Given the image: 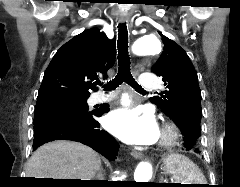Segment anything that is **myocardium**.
Listing matches in <instances>:
<instances>
[{
    "instance_id": "myocardium-1",
    "label": "myocardium",
    "mask_w": 240,
    "mask_h": 187,
    "mask_svg": "<svg viewBox=\"0 0 240 187\" xmlns=\"http://www.w3.org/2000/svg\"><path fill=\"white\" fill-rule=\"evenodd\" d=\"M179 136L178 126L173 122H166L162 127L159 145L161 147H170L174 145Z\"/></svg>"
}]
</instances>
